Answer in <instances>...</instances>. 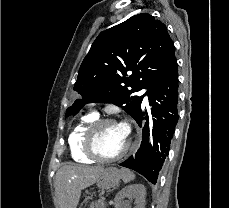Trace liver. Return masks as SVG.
<instances>
[{
	"mask_svg": "<svg viewBox=\"0 0 229 208\" xmlns=\"http://www.w3.org/2000/svg\"><path fill=\"white\" fill-rule=\"evenodd\" d=\"M104 170V166H80V164L62 166L55 178L59 208H77L81 190L95 184Z\"/></svg>",
	"mask_w": 229,
	"mask_h": 208,
	"instance_id": "obj_1",
	"label": "liver"
}]
</instances>
